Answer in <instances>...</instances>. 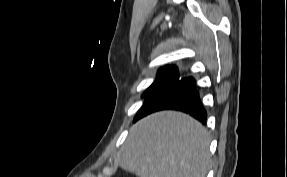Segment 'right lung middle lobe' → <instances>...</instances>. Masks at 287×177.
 <instances>
[{"label": "right lung middle lobe", "instance_id": "right-lung-middle-lobe-1", "mask_svg": "<svg viewBox=\"0 0 287 177\" xmlns=\"http://www.w3.org/2000/svg\"><path fill=\"white\" fill-rule=\"evenodd\" d=\"M174 70H177V67L176 66H173V65H168V66H165V67H162V68H160L159 70H158V74H157V78L155 79V81L153 82V84L155 83V82H157L159 79H161L163 76H165V75H167V74H169L170 72H172V71H174ZM152 84V85H153ZM151 85V86H152ZM150 86V87H151ZM149 87V88H150ZM148 88V89H149ZM148 89L146 90V92L148 91ZM145 92V93H146ZM145 93L143 94V96L145 95Z\"/></svg>", "mask_w": 287, "mask_h": 177}]
</instances>
